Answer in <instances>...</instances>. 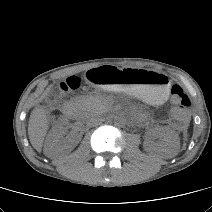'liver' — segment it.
<instances>
[{
  "label": "liver",
  "instance_id": "1",
  "mask_svg": "<svg viewBox=\"0 0 212 212\" xmlns=\"http://www.w3.org/2000/svg\"><path fill=\"white\" fill-rule=\"evenodd\" d=\"M48 127L49 122L45 110L42 107L35 108L29 118L28 136L32 146L38 152H41Z\"/></svg>",
  "mask_w": 212,
  "mask_h": 212
}]
</instances>
